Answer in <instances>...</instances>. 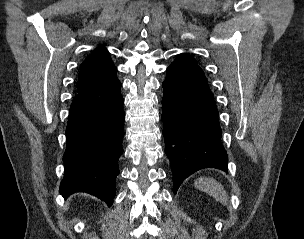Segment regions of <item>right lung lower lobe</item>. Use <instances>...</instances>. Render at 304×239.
I'll return each mask as SVG.
<instances>
[{"instance_id": "1", "label": "right lung lower lobe", "mask_w": 304, "mask_h": 239, "mask_svg": "<svg viewBox=\"0 0 304 239\" xmlns=\"http://www.w3.org/2000/svg\"><path fill=\"white\" fill-rule=\"evenodd\" d=\"M116 71L79 91L69 112L63 156L64 196L86 192L111 206L116 195L118 159L123 152V98Z\"/></svg>"}]
</instances>
